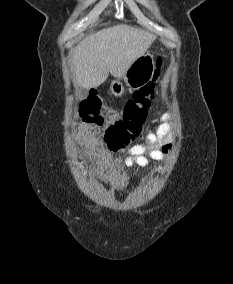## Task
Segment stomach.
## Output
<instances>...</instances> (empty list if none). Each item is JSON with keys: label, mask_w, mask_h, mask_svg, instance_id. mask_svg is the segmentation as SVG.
Returning a JSON list of instances; mask_svg holds the SVG:
<instances>
[{"label": "stomach", "mask_w": 233, "mask_h": 284, "mask_svg": "<svg viewBox=\"0 0 233 284\" xmlns=\"http://www.w3.org/2000/svg\"><path fill=\"white\" fill-rule=\"evenodd\" d=\"M155 62L150 53L138 57L128 68L126 73L111 83L110 90L115 96H121L125 92V85L131 89H139L146 85L154 75Z\"/></svg>", "instance_id": "1"}]
</instances>
